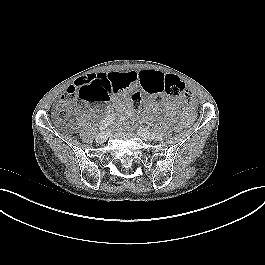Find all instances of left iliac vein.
Masks as SVG:
<instances>
[{
  "label": "left iliac vein",
  "instance_id": "obj_1",
  "mask_svg": "<svg viewBox=\"0 0 265 265\" xmlns=\"http://www.w3.org/2000/svg\"><path fill=\"white\" fill-rule=\"evenodd\" d=\"M138 135L144 139L145 141H151L152 140V136L150 134V132L144 128H140L138 130Z\"/></svg>",
  "mask_w": 265,
  "mask_h": 265
}]
</instances>
